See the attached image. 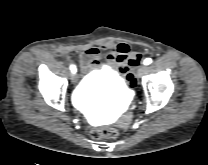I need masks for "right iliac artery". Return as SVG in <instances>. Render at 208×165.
Wrapping results in <instances>:
<instances>
[{
  "instance_id": "82829eb1",
  "label": "right iliac artery",
  "mask_w": 208,
  "mask_h": 165,
  "mask_svg": "<svg viewBox=\"0 0 208 165\" xmlns=\"http://www.w3.org/2000/svg\"><path fill=\"white\" fill-rule=\"evenodd\" d=\"M70 70L72 71V73H76L77 69L75 65H70Z\"/></svg>"
}]
</instances>
